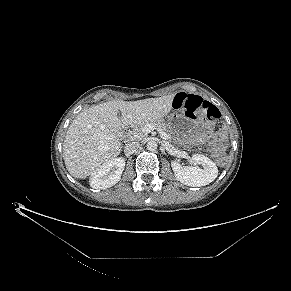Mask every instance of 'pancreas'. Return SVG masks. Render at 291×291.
<instances>
[{
	"mask_svg": "<svg viewBox=\"0 0 291 291\" xmlns=\"http://www.w3.org/2000/svg\"><path fill=\"white\" fill-rule=\"evenodd\" d=\"M147 124H151L154 125L156 128L162 130L163 132H168V129L166 127L165 122L162 119H157V120H151V121H146L143 123L138 124L134 131H133V137L135 139H142L146 134L143 131V128L147 125Z\"/></svg>",
	"mask_w": 291,
	"mask_h": 291,
	"instance_id": "pancreas-1",
	"label": "pancreas"
}]
</instances>
